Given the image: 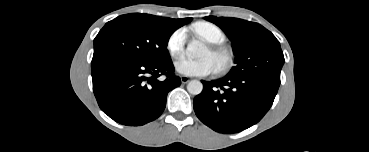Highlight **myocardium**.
I'll list each match as a JSON object with an SVG mask.
<instances>
[{
	"label": "myocardium",
	"mask_w": 369,
	"mask_h": 152,
	"mask_svg": "<svg viewBox=\"0 0 369 152\" xmlns=\"http://www.w3.org/2000/svg\"><path fill=\"white\" fill-rule=\"evenodd\" d=\"M211 53L217 60V71L227 70L232 60L231 52L225 47H213Z\"/></svg>",
	"instance_id": "obj_1"
}]
</instances>
